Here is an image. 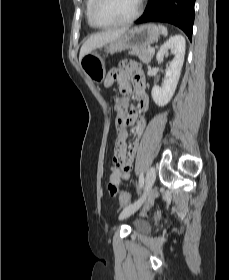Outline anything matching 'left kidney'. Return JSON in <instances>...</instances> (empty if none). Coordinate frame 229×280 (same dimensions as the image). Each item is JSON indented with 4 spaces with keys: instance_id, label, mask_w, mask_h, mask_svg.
Returning a JSON list of instances; mask_svg holds the SVG:
<instances>
[{
    "instance_id": "1",
    "label": "left kidney",
    "mask_w": 229,
    "mask_h": 280,
    "mask_svg": "<svg viewBox=\"0 0 229 280\" xmlns=\"http://www.w3.org/2000/svg\"><path fill=\"white\" fill-rule=\"evenodd\" d=\"M185 46L184 37L175 35L160 47L156 55L158 63L163 62L164 56L168 55L169 50L174 55V59L166 69L162 87L154 86L152 88L151 95L158 106L168 104L175 93L184 62Z\"/></svg>"
}]
</instances>
